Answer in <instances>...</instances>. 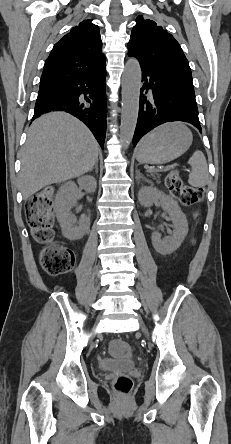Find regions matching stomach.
<instances>
[{
  "instance_id": "stomach-1",
  "label": "stomach",
  "mask_w": 231,
  "mask_h": 444,
  "mask_svg": "<svg viewBox=\"0 0 231 444\" xmlns=\"http://www.w3.org/2000/svg\"><path fill=\"white\" fill-rule=\"evenodd\" d=\"M191 131L180 122L164 124L145 136L138 144L136 158L141 163L164 164L188 150Z\"/></svg>"
}]
</instances>
